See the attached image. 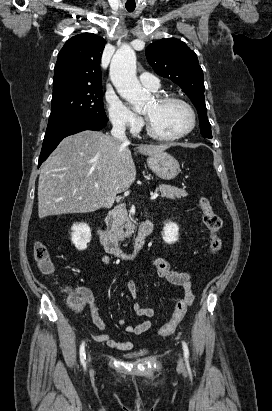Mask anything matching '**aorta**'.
Instances as JSON below:
<instances>
[{
	"label": "aorta",
	"mask_w": 272,
	"mask_h": 411,
	"mask_svg": "<svg viewBox=\"0 0 272 411\" xmlns=\"http://www.w3.org/2000/svg\"><path fill=\"white\" fill-rule=\"evenodd\" d=\"M110 77L120 96L136 110L149 98L137 80L136 54L131 47L122 46L116 51L110 64Z\"/></svg>",
	"instance_id": "762f6f07"
}]
</instances>
